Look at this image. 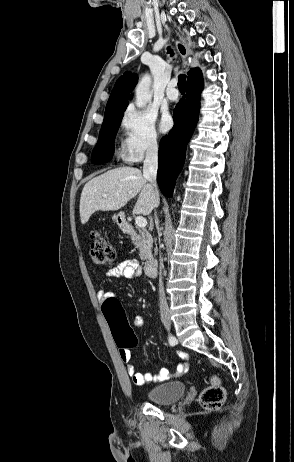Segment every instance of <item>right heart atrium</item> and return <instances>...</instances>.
Segmentation results:
<instances>
[{"label": "right heart atrium", "instance_id": "1", "mask_svg": "<svg viewBox=\"0 0 294 462\" xmlns=\"http://www.w3.org/2000/svg\"><path fill=\"white\" fill-rule=\"evenodd\" d=\"M121 127L122 158L125 162L136 163L147 155L157 153L159 137L150 115L128 108L122 116Z\"/></svg>", "mask_w": 294, "mask_h": 462}]
</instances>
